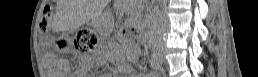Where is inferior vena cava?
Segmentation results:
<instances>
[{
	"label": "inferior vena cava",
	"instance_id": "inferior-vena-cava-1",
	"mask_svg": "<svg viewBox=\"0 0 258 77\" xmlns=\"http://www.w3.org/2000/svg\"><path fill=\"white\" fill-rule=\"evenodd\" d=\"M150 17L152 21L153 20L155 21L156 19L161 18V12L158 9V7H154V9H152V12L150 13Z\"/></svg>",
	"mask_w": 258,
	"mask_h": 77
}]
</instances>
